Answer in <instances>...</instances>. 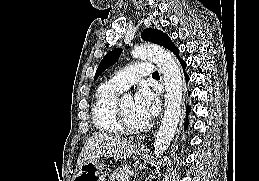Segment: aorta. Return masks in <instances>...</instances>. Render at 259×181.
<instances>
[{
	"label": "aorta",
	"instance_id": "obj_1",
	"mask_svg": "<svg viewBox=\"0 0 259 181\" xmlns=\"http://www.w3.org/2000/svg\"><path fill=\"white\" fill-rule=\"evenodd\" d=\"M132 56L153 60L160 68L165 82V112L154 144V153L156 157H159L170 145L181 115L182 76L180 68L170 52L154 44L136 45L132 50ZM126 98L128 95L123 96V99Z\"/></svg>",
	"mask_w": 259,
	"mask_h": 181
}]
</instances>
